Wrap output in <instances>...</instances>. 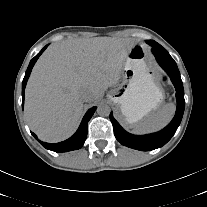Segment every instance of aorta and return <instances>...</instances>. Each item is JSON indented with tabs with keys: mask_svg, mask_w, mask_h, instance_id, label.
Returning a JSON list of instances; mask_svg holds the SVG:
<instances>
[{
	"mask_svg": "<svg viewBox=\"0 0 207 207\" xmlns=\"http://www.w3.org/2000/svg\"><path fill=\"white\" fill-rule=\"evenodd\" d=\"M110 112H111V108L107 104H100L97 108V113L100 116H104V117L109 116Z\"/></svg>",
	"mask_w": 207,
	"mask_h": 207,
	"instance_id": "obj_1",
	"label": "aorta"
}]
</instances>
